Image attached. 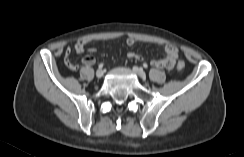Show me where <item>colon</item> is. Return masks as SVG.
Instances as JSON below:
<instances>
[{
  "mask_svg": "<svg viewBox=\"0 0 244 157\" xmlns=\"http://www.w3.org/2000/svg\"><path fill=\"white\" fill-rule=\"evenodd\" d=\"M176 67L178 70H183L185 68V63L183 61H179Z\"/></svg>",
  "mask_w": 244,
  "mask_h": 157,
  "instance_id": "obj_1",
  "label": "colon"
}]
</instances>
